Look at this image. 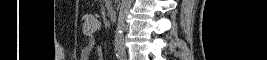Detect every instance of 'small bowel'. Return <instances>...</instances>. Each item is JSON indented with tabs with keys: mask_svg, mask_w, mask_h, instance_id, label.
<instances>
[{
	"mask_svg": "<svg viewBox=\"0 0 267 60\" xmlns=\"http://www.w3.org/2000/svg\"><path fill=\"white\" fill-rule=\"evenodd\" d=\"M83 55L85 58H88L90 55H96L99 59H102V50L98 46L95 34L89 35L87 45L83 49Z\"/></svg>",
	"mask_w": 267,
	"mask_h": 60,
	"instance_id": "small-bowel-1",
	"label": "small bowel"
}]
</instances>
